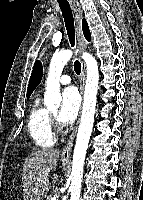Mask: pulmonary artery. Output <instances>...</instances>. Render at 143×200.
<instances>
[{"label": "pulmonary artery", "instance_id": "pulmonary-artery-1", "mask_svg": "<svg viewBox=\"0 0 143 200\" xmlns=\"http://www.w3.org/2000/svg\"><path fill=\"white\" fill-rule=\"evenodd\" d=\"M59 81H60L61 84L66 85V84H69L71 82V78H70L69 75H62L60 77Z\"/></svg>", "mask_w": 143, "mask_h": 200}]
</instances>
